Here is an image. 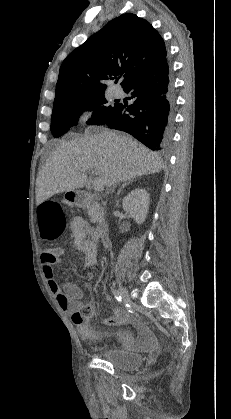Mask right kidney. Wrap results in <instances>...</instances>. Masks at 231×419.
Returning a JSON list of instances; mask_svg holds the SVG:
<instances>
[{
	"label": "right kidney",
	"instance_id": "obj_1",
	"mask_svg": "<svg viewBox=\"0 0 231 419\" xmlns=\"http://www.w3.org/2000/svg\"><path fill=\"white\" fill-rule=\"evenodd\" d=\"M149 202V193L143 188H136L123 198V210L127 212L137 224H142L148 214Z\"/></svg>",
	"mask_w": 231,
	"mask_h": 419
}]
</instances>
